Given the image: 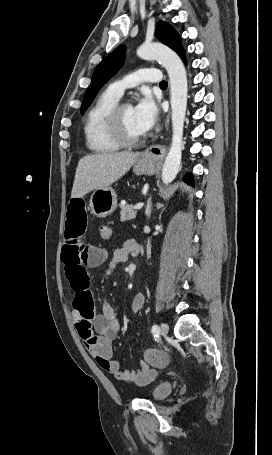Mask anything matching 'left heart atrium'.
I'll return each mask as SVG.
<instances>
[{
  "mask_svg": "<svg viewBox=\"0 0 272 455\" xmlns=\"http://www.w3.org/2000/svg\"><path fill=\"white\" fill-rule=\"evenodd\" d=\"M136 123L142 134L151 130L158 120V107L150 95L143 96L134 107Z\"/></svg>",
  "mask_w": 272,
  "mask_h": 455,
  "instance_id": "obj_1",
  "label": "left heart atrium"
}]
</instances>
